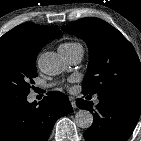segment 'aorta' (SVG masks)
Listing matches in <instances>:
<instances>
[{"label": "aorta", "mask_w": 141, "mask_h": 141, "mask_svg": "<svg viewBox=\"0 0 141 141\" xmlns=\"http://www.w3.org/2000/svg\"><path fill=\"white\" fill-rule=\"evenodd\" d=\"M38 67L46 75L54 76L63 70V63L55 52H45L38 59ZM75 123L82 129H88L93 123V115L90 111L81 109L75 115Z\"/></svg>", "instance_id": "aorta-1"}]
</instances>
